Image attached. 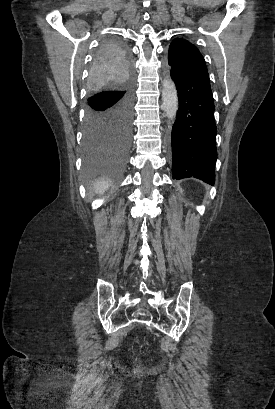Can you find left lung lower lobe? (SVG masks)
Listing matches in <instances>:
<instances>
[{
	"mask_svg": "<svg viewBox=\"0 0 275 409\" xmlns=\"http://www.w3.org/2000/svg\"><path fill=\"white\" fill-rule=\"evenodd\" d=\"M171 77L179 97L171 137L173 179L194 177L214 185L217 128L210 83L173 70Z\"/></svg>",
	"mask_w": 275,
	"mask_h": 409,
	"instance_id": "obj_1",
	"label": "left lung lower lobe"
}]
</instances>
